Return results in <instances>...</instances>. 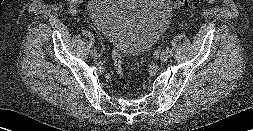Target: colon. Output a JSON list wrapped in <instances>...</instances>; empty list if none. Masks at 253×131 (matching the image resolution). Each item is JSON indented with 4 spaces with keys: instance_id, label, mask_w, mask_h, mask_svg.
Returning a JSON list of instances; mask_svg holds the SVG:
<instances>
[{
    "instance_id": "colon-1",
    "label": "colon",
    "mask_w": 253,
    "mask_h": 131,
    "mask_svg": "<svg viewBox=\"0 0 253 131\" xmlns=\"http://www.w3.org/2000/svg\"><path fill=\"white\" fill-rule=\"evenodd\" d=\"M204 3H215L217 0H200ZM194 0H175V6L178 8H188L190 5H193ZM113 64L115 70L119 77H123V67H122V58L118 50L114 49L112 53Z\"/></svg>"
}]
</instances>
